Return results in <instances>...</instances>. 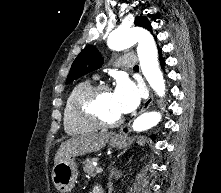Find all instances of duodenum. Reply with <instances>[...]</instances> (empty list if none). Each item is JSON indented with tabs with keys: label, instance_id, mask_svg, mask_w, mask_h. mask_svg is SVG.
<instances>
[{
	"label": "duodenum",
	"instance_id": "410a0bca",
	"mask_svg": "<svg viewBox=\"0 0 221 193\" xmlns=\"http://www.w3.org/2000/svg\"><path fill=\"white\" fill-rule=\"evenodd\" d=\"M93 193H104V192H103V190H101V189H95V190L93 191Z\"/></svg>",
	"mask_w": 221,
	"mask_h": 193
}]
</instances>
